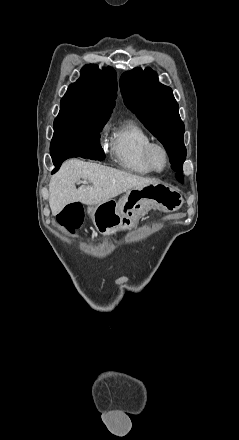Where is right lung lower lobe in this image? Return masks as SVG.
Listing matches in <instances>:
<instances>
[{"label": "right lung lower lobe", "mask_w": 239, "mask_h": 440, "mask_svg": "<svg viewBox=\"0 0 239 440\" xmlns=\"http://www.w3.org/2000/svg\"><path fill=\"white\" fill-rule=\"evenodd\" d=\"M52 160L56 168L53 172L57 171L64 160L71 157H83L89 158L92 160H103L105 158V154L99 145L95 144H86L76 148H70L66 151L52 154Z\"/></svg>", "instance_id": "1"}]
</instances>
